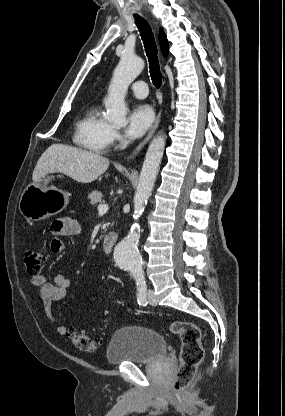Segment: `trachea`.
<instances>
[{
  "mask_svg": "<svg viewBox=\"0 0 285 416\" xmlns=\"http://www.w3.org/2000/svg\"><path fill=\"white\" fill-rule=\"evenodd\" d=\"M135 23L140 31L144 48L149 61L150 76L156 88H160L162 83V73L159 68L158 51L154 34L149 23L141 16L134 14Z\"/></svg>",
  "mask_w": 285,
  "mask_h": 416,
  "instance_id": "1",
  "label": "trachea"
}]
</instances>
